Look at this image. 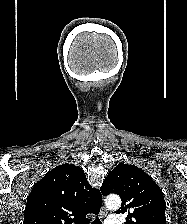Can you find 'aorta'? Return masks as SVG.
<instances>
[{
	"label": "aorta",
	"instance_id": "aorta-1",
	"mask_svg": "<svg viewBox=\"0 0 187 224\" xmlns=\"http://www.w3.org/2000/svg\"><path fill=\"white\" fill-rule=\"evenodd\" d=\"M105 205L108 209L116 210L121 206V199L117 195L108 196L105 200Z\"/></svg>",
	"mask_w": 187,
	"mask_h": 224
}]
</instances>
